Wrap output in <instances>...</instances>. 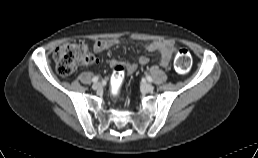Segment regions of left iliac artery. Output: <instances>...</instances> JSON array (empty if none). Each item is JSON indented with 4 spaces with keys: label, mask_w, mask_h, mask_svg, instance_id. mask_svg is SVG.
I'll list each match as a JSON object with an SVG mask.
<instances>
[{
    "label": "left iliac artery",
    "mask_w": 258,
    "mask_h": 158,
    "mask_svg": "<svg viewBox=\"0 0 258 158\" xmlns=\"http://www.w3.org/2000/svg\"><path fill=\"white\" fill-rule=\"evenodd\" d=\"M146 78H147V80H148L149 82H152V81H153L152 78H151V76H149V75H147Z\"/></svg>",
    "instance_id": "44dca946"
}]
</instances>
